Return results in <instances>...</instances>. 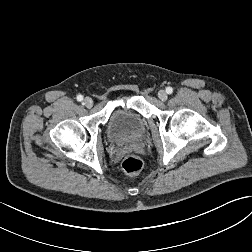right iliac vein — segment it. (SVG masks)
Instances as JSON below:
<instances>
[{
    "label": "right iliac vein",
    "mask_w": 252,
    "mask_h": 252,
    "mask_svg": "<svg viewBox=\"0 0 252 252\" xmlns=\"http://www.w3.org/2000/svg\"><path fill=\"white\" fill-rule=\"evenodd\" d=\"M83 103L87 108H91L93 106V100L90 97H86L83 100Z\"/></svg>",
    "instance_id": "1"
}]
</instances>
